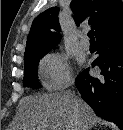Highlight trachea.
<instances>
[{
    "label": "trachea",
    "instance_id": "trachea-1",
    "mask_svg": "<svg viewBox=\"0 0 123 130\" xmlns=\"http://www.w3.org/2000/svg\"><path fill=\"white\" fill-rule=\"evenodd\" d=\"M88 37L90 38L91 41L95 40L93 31L88 32Z\"/></svg>",
    "mask_w": 123,
    "mask_h": 130
}]
</instances>
